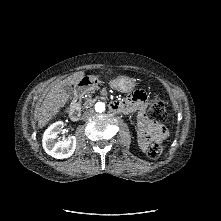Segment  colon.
I'll list each match as a JSON object with an SVG mask.
<instances>
[{
	"label": "colon",
	"instance_id": "5ec220e1",
	"mask_svg": "<svg viewBox=\"0 0 221 221\" xmlns=\"http://www.w3.org/2000/svg\"><path fill=\"white\" fill-rule=\"evenodd\" d=\"M148 115L154 120L164 121L167 118V112L164 103L158 98L152 99L150 102ZM162 151V145L155 143L148 148L147 155L151 158H158L162 154Z\"/></svg>",
	"mask_w": 221,
	"mask_h": 221
}]
</instances>
